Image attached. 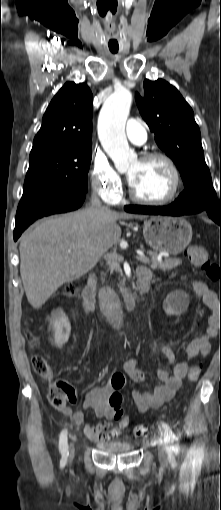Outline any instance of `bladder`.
Here are the masks:
<instances>
[{
    "label": "bladder",
    "mask_w": 221,
    "mask_h": 510,
    "mask_svg": "<svg viewBox=\"0 0 221 510\" xmlns=\"http://www.w3.org/2000/svg\"><path fill=\"white\" fill-rule=\"evenodd\" d=\"M98 447L101 450L107 451L110 453H124V452H129L133 449V445L131 443L122 442V441L110 442V443L100 442L98 444Z\"/></svg>",
    "instance_id": "bladder-1"
}]
</instances>
